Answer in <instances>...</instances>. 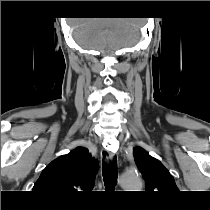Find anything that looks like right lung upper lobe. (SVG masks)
Returning a JSON list of instances; mask_svg holds the SVG:
<instances>
[{
  "mask_svg": "<svg viewBox=\"0 0 210 210\" xmlns=\"http://www.w3.org/2000/svg\"><path fill=\"white\" fill-rule=\"evenodd\" d=\"M98 162L88 149L77 147L53 160L41 173L33 191L57 203L77 197L78 191L92 190Z\"/></svg>",
  "mask_w": 210,
  "mask_h": 210,
  "instance_id": "cb5924a9",
  "label": "right lung upper lobe"
}]
</instances>
